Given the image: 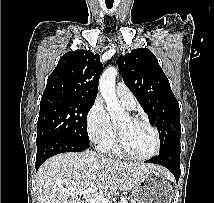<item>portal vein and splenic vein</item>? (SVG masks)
<instances>
[{
    "label": "portal vein and splenic vein",
    "instance_id": "portal-vein-and-splenic-vein-1",
    "mask_svg": "<svg viewBox=\"0 0 214 203\" xmlns=\"http://www.w3.org/2000/svg\"><path fill=\"white\" fill-rule=\"evenodd\" d=\"M97 189H98L97 186H92L87 189L72 188V189L66 190L65 193L75 195V196L83 195L87 203H112L104 196L95 194ZM126 202L127 200H122L121 203H126Z\"/></svg>",
    "mask_w": 214,
    "mask_h": 203
}]
</instances>
